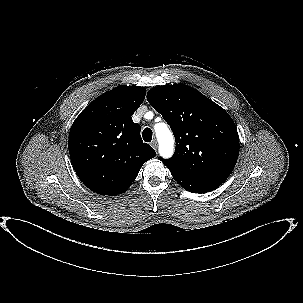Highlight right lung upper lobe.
Segmentation results:
<instances>
[{
	"mask_svg": "<svg viewBox=\"0 0 303 303\" xmlns=\"http://www.w3.org/2000/svg\"><path fill=\"white\" fill-rule=\"evenodd\" d=\"M145 93L144 87L121 85L96 98L74 121L68 143L71 162L93 192L109 196L125 192L142 165L156 156L131 117Z\"/></svg>",
	"mask_w": 303,
	"mask_h": 303,
	"instance_id": "obj_1",
	"label": "right lung upper lobe"
}]
</instances>
